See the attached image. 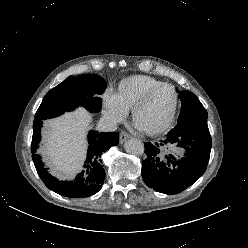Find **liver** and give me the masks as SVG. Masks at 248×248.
<instances>
[{"instance_id": "liver-1", "label": "liver", "mask_w": 248, "mask_h": 248, "mask_svg": "<svg viewBox=\"0 0 248 248\" xmlns=\"http://www.w3.org/2000/svg\"><path fill=\"white\" fill-rule=\"evenodd\" d=\"M92 120L84 108L45 122L41 152L52 174L71 179L79 173L86 158L85 134Z\"/></svg>"}]
</instances>
